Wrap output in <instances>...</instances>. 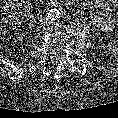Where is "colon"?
<instances>
[{
	"label": "colon",
	"instance_id": "colon-1",
	"mask_svg": "<svg viewBox=\"0 0 118 118\" xmlns=\"http://www.w3.org/2000/svg\"><path fill=\"white\" fill-rule=\"evenodd\" d=\"M30 9L31 0H5L1 16L3 20L13 15L25 16L30 12Z\"/></svg>",
	"mask_w": 118,
	"mask_h": 118
}]
</instances>
